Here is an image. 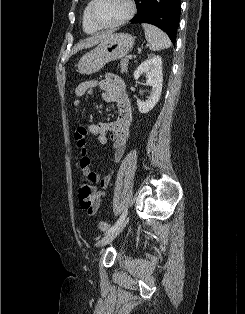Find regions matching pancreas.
Here are the masks:
<instances>
[{
	"mask_svg": "<svg viewBox=\"0 0 245 314\" xmlns=\"http://www.w3.org/2000/svg\"><path fill=\"white\" fill-rule=\"evenodd\" d=\"M128 64H129V60L127 58H123L121 61H120V71L121 73H127L128 71Z\"/></svg>",
	"mask_w": 245,
	"mask_h": 314,
	"instance_id": "cf45deb5",
	"label": "pancreas"
}]
</instances>
